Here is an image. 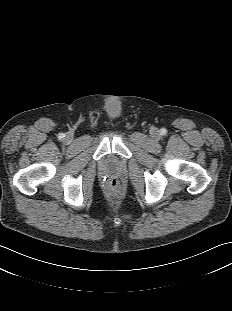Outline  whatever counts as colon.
<instances>
[{
    "instance_id": "5ec220e1",
    "label": "colon",
    "mask_w": 232,
    "mask_h": 311,
    "mask_svg": "<svg viewBox=\"0 0 232 311\" xmlns=\"http://www.w3.org/2000/svg\"><path fill=\"white\" fill-rule=\"evenodd\" d=\"M119 183L116 180H110L108 183V191L112 195H117L119 193Z\"/></svg>"
}]
</instances>
